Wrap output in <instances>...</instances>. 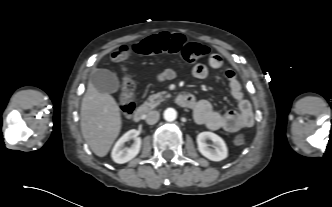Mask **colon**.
I'll use <instances>...</instances> for the list:
<instances>
[{"mask_svg": "<svg viewBox=\"0 0 332 207\" xmlns=\"http://www.w3.org/2000/svg\"><path fill=\"white\" fill-rule=\"evenodd\" d=\"M166 52L178 54L187 63H194L209 53L205 45L188 42L182 34L160 33L146 38L132 45H122L112 54L115 62L121 63L133 54L148 55ZM135 82L129 74L123 78L120 108L126 116H130L135 109ZM245 141L243 135H237L235 144L242 145Z\"/></svg>", "mask_w": 332, "mask_h": 207, "instance_id": "colon-1", "label": "colon"}]
</instances>
